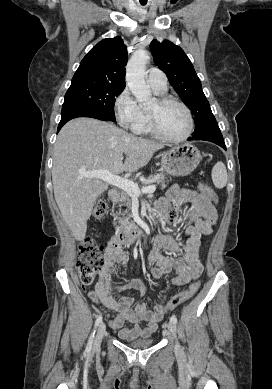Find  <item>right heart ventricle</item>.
<instances>
[{
    "label": "right heart ventricle",
    "mask_w": 272,
    "mask_h": 389,
    "mask_svg": "<svg viewBox=\"0 0 272 389\" xmlns=\"http://www.w3.org/2000/svg\"><path fill=\"white\" fill-rule=\"evenodd\" d=\"M155 93L158 95H164L165 92H163V93L155 92ZM132 129L136 134L153 135V132H152L151 127H150L148 110L142 109V117H141L140 121Z\"/></svg>",
    "instance_id": "right-heart-ventricle-1"
}]
</instances>
